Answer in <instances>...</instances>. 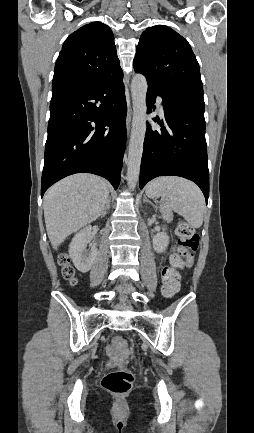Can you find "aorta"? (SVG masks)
<instances>
[{
  "label": "aorta",
  "instance_id": "1",
  "mask_svg": "<svg viewBox=\"0 0 254 433\" xmlns=\"http://www.w3.org/2000/svg\"><path fill=\"white\" fill-rule=\"evenodd\" d=\"M147 80L144 75L136 74L131 83L133 119L128 150L127 182L130 189L137 185L140 173L143 144L146 133V94Z\"/></svg>",
  "mask_w": 254,
  "mask_h": 433
}]
</instances>
